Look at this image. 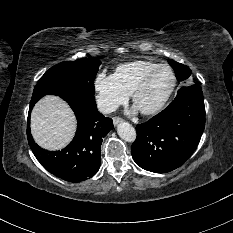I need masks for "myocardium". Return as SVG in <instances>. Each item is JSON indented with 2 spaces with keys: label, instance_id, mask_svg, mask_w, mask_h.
Instances as JSON below:
<instances>
[{
  "label": "myocardium",
  "instance_id": "1",
  "mask_svg": "<svg viewBox=\"0 0 233 233\" xmlns=\"http://www.w3.org/2000/svg\"><path fill=\"white\" fill-rule=\"evenodd\" d=\"M160 69H167L170 71V73L172 75V84H171L168 92L166 93V95L163 97V99L155 107H153L151 109H147V110H139L143 115L151 116V115H156L159 112H161L165 108V106L167 105L168 101L170 100L172 94L175 91V88L177 85V77H176L174 70L169 65L160 64V65L156 66L155 68L151 69L150 71H148L142 77V79L138 82V84L134 87V89L131 93V99H132L133 104L135 105V101H136L137 96L146 87V85L148 84L151 77Z\"/></svg>",
  "mask_w": 233,
  "mask_h": 233
}]
</instances>
